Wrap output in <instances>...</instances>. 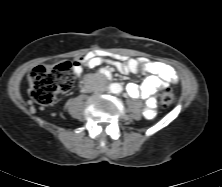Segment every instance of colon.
Listing matches in <instances>:
<instances>
[{
  "label": "colon",
  "mask_w": 222,
  "mask_h": 187,
  "mask_svg": "<svg viewBox=\"0 0 222 187\" xmlns=\"http://www.w3.org/2000/svg\"><path fill=\"white\" fill-rule=\"evenodd\" d=\"M74 64L66 61L57 65L42 64L29 74L30 97L41 106L52 105L57 96L68 91L74 82ZM159 105L167 108L174 102L171 91L164 90L158 98Z\"/></svg>",
  "instance_id": "obj_1"
}]
</instances>
